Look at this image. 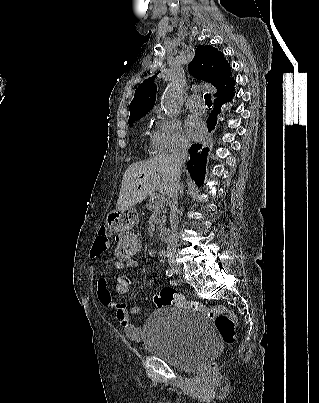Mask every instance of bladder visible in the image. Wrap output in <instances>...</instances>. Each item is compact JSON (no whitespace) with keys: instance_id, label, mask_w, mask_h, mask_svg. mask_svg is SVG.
<instances>
[{"instance_id":"bladder-1","label":"bladder","mask_w":319,"mask_h":403,"mask_svg":"<svg viewBox=\"0 0 319 403\" xmlns=\"http://www.w3.org/2000/svg\"><path fill=\"white\" fill-rule=\"evenodd\" d=\"M143 331L146 350L182 370L202 367L220 349L210 319L185 308L154 310Z\"/></svg>"}]
</instances>
